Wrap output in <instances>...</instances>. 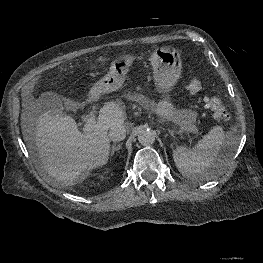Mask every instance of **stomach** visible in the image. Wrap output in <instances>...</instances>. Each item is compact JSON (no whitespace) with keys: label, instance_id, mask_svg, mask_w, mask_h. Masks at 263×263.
<instances>
[{"label":"stomach","instance_id":"1","mask_svg":"<svg viewBox=\"0 0 263 263\" xmlns=\"http://www.w3.org/2000/svg\"><path fill=\"white\" fill-rule=\"evenodd\" d=\"M134 60L135 57L129 54L116 57L110 65L108 74L95 84L91 94L98 93L99 95L119 89ZM149 60L157 89L161 92H169L181 76L180 52L173 46H162L152 52ZM153 110L159 118L175 123L179 128V133L193 132L196 129L195 113L175 108L167 97L154 104Z\"/></svg>","mask_w":263,"mask_h":263}]
</instances>
